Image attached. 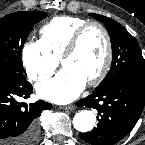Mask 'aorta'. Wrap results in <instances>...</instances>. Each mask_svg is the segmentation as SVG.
<instances>
[{
  "label": "aorta",
  "mask_w": 145,
  "mask_h": 145,
  "mask_svg": "<svg viewBox=\"0 0 145 145\" xmlns=\"http://www.w3.org/2000/svg\"><path fill=\"white\" fill-rule=\"evenodd\" d=\"M96 124V116L90 110H81L73 118L74 128L79 132H89Z\"/></svg>",
  "instance_id": "obj_1"
}]
</instances>
